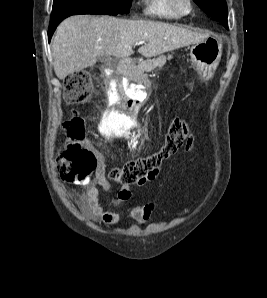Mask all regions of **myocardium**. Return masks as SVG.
<instances>
[{
  "label": "myocardium",
  "instance_id": "f54148a6",
  "mask_svg": "<svg viewBox=\"0 0 267 298\" xmlns=\"http://www.w3.org/2000/svg\"><path fill=\"white\" fill-rule=\"evenodd\" d=\"M188 3V10L182 11L177 4V0H168L169 7L179 16H187L193 11V1L186 0Z\"/></svg>",
  "mask_w": 267,
  "mask_h": 298
}]
</instances>
